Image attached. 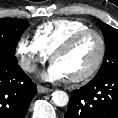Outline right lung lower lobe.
Segmentation results:
<instances>
[{
	"label": "right lung lower lobe",
	"instance_id": "98d812e1",
	"mask_svg": "<svg viewBox=\"0 0 118 118\" xmlns=\"http://www.w3.org/2000/svg\"><path fill=\"white\" fill-rule=\"evenodd\" d=\"M36 93L17 60H0V118H24Z\"/></svg>",
	"mask_w": 118,
	"mask_h": 118
}]
</instances>
